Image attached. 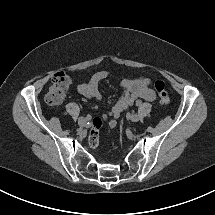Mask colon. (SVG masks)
Instances as JSON below:
<instances>
[{"label": "colon", "mask_w": 215, "mask_h": 215, "mask_svg": "<svg viewBox=\"0 0 215 215\" xmlns=\"http://www.w3.org/2000/svg\"><path fill=\"white\" fill-rule=\"evenodd\" d=\"M71 85V78L64 72L55 74L52 80V85L48 89L45 96L47 104L55 106L63 102L65 93ZM154 88L159 96L162 104H168L170 101V93L164 82L158 80L154 83ZM101 127V121L94 119L92 128L89 133L88 141L91 148H96L99 143V129Z\"/></svg>", "instance_id": "colon-1"}]
</instances>
